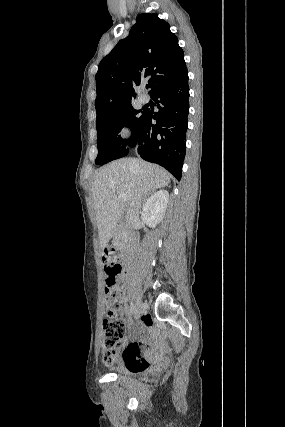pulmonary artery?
Returning <instances> with one entry per match:
<instances>
[{"mask_svg": "<svg viewBox=\"0 0 285 427\" xmlns=\"http://www.w3.org/2000/svg\"><path fill=\"white\" fill-rule=\"evenodd\" d=\"M139 99H140V101H141L142 103H147V102H148V96H147L144 92H142V93L140 94Z\"/></svg>", "mask_w": 285, "mask_h": 427, "instance_id": "pulmonary-artery-1", "label": "pulmonary artery"}]
</instances>
